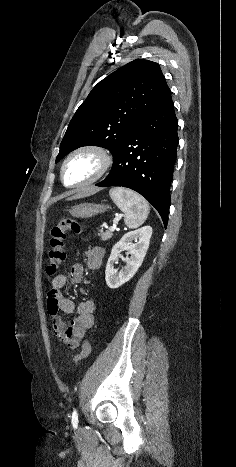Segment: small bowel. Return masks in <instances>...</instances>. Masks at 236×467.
I'll return each instance as SVG.
<instances>
[{"mask_svg": "<svg viewBox=\"0 0 236 467\" xmlns=\"http://www.w3.org/2000/svg\"><path fill=\"white\" fill-rule=\"evenodd\" d=\"M104 252L101 248H94L86 252V264L90 270L101 267ZM84 277V266L72 264L67 272L55 276L47 292V312L51 317L53 334L67 347L74 349L85 336L88 329L94 325L95 304L92 300H84L76 304L65 297L63 288L69 279L73 283H80ZM61 313H75V318L69 325L61 318Z\"/></svg>", "mask_w": 236, "mask_h": 467, "instance_id": "c3829d8e", "label": "small bowel"}]
</instances>
